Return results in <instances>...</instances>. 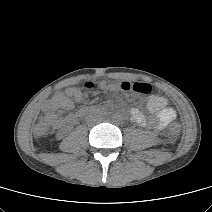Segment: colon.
<instances>
[{
	"label": "colon",
	"instance_id": "1",
	"mask_svg": "<svg viewBox=\"0 0 212 212\" xmlns=\"http://www.w3.org/2000/svg\"><path fill=\"white\" fill-rule=\"evenodd\" d=\"M85 89L93 88V83L87 82L84 84ZM95 88L99 92L103 93H134L138 92L141 94H149L152 91V88L149 84L136 82L129 79H99L95 83ZM49 130V122H39L34 127V133L36 136H43ZM179 132V127L177 125L172 126L169 132V138L174 140Z\"/></svg>",
	"mask_w": 212,
	"mask_h": 212
}]
</instances>
